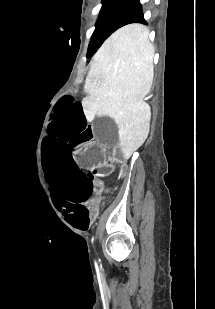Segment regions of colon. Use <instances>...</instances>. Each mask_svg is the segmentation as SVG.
I'll list each match as a JSON object with an SVG mask.
<instances>
[{"label": "colon", "instance_id": "colon-1", "mask_svg": "<svg viewBox=\"0 0 215 309\" xmlns=\"http://www.w3.org/2000/svg\"><path fill=\"white\" fill-rule=\"evenodd\" d=\"M102 153H103V157L106 155V153L104 152V151H102ZM105 161L104 160H102V162L99 164V170H100V172H102V173H105V172H107V170H108V166H106L105 164Z\"/></svg>", "mask_w": 215, "mask_h": 309}]
</instances>
